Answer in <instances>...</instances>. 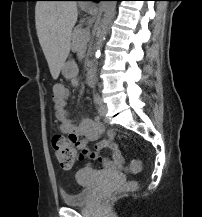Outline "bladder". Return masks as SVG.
Wrapping results in <instances>:
<instances>
[{"label":"bladder","instance_id":"1","mask_svg":"<svg viewBox=\"0 0 202 217\" xmlns=\"http://www.w3.org/2000/svg\"><path fill=\"white\" fill-rule=\"evenodd\" d=\"M113 177L111 172H102L89 168H82L75 175L79 190L75 194L63 193L62 202L69 206H81L89 203L94 197V191L99 179Z\"/></svg>","mask_w":202,"mask_h":217}]
</instances>
